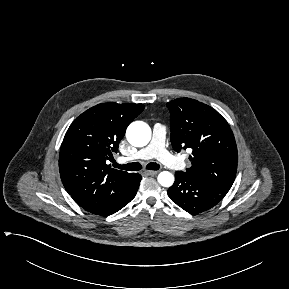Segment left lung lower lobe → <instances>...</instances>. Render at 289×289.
<instances>
[{
    "mask_svg": "<svg viewBox=\"0 0 289 289\" xmlns=\"http://www.w3.org/2000/svg\"><path fill=\"white\" fill-rule=\"evenodd\" d=\"M229 190L198 179L182 171L175 173V182L168 189L171 200L185 211L197 214L218 204Z\"/></svg>",
    "mask_w": 289,
    "mask_h": 289,
    "instance_id": "0a47b994",
    "label": "left lung lower lobe"
}]
</instances>
